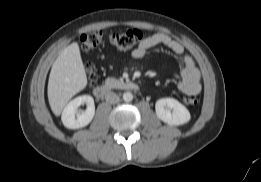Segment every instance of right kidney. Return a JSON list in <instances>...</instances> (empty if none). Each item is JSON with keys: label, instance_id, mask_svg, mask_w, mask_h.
I'll return each mask as SVG.
<instances>
[{"label": "right kidney", "instance_id": "ca27d5eb", "mask_svg": "<svg viewBox=\"0 0 261 182\" xmlns=\"http://www.w3.org/2000/svg\"><path fill=\"white\" fill-rule=\"evenodd\" d=\"M81 104H86L87 108L83 113L78 112ZM95 114L94 100L89 95L78 96L70 101L64 108L61 116L63 125L69 129H78L87 126Z\"/></svg>", "mask_w": 261, "mask_h": 182}]
</instances>
